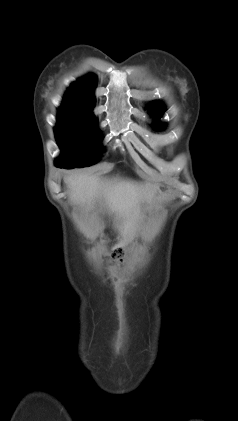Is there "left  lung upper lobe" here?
Returning a JSON list of instances; mask_svg holds the SVG:
<instances>
[{"mask_svg":"<svg viewBox=\"0 0 238 421\" xmlns=\"http://www.w3.org/2000/svg\"><path fill=\"white\" fill-rule=\"evenodd\" d=\"M163 109L164 107L161 104L156 103L150 108V111L155 114V116H158L163 113Z\"/></svg>","mask_w":238,"mask_h":421,"instance_id":"left-lung-upper-lobe-1","label":"left lung upper lobe"}]
</instances>
